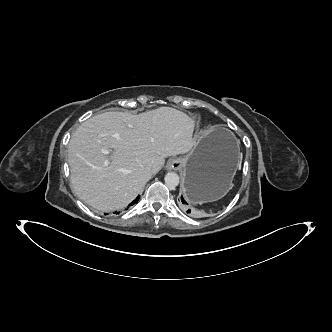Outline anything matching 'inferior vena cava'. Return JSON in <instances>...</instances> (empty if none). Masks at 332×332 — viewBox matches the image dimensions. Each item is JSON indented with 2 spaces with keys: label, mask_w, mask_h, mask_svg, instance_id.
<instances>
[{
  "label": "inferior vena cava",
  "mask_w": 332,
  "mask_h": 332,
  "mask_svg": "<svg viewBox=\"0 0 332 332\" xmlns=\"http://www.w3.org/2000/svg\"><path fill=\"white\" fill-rule=\"evenodd\" d=\"M146 168H147V170L150 171V172L153 171V165H152V164H148Z\"/></svg>",
  "instance_id": "602c4592"
}]
</instances>
